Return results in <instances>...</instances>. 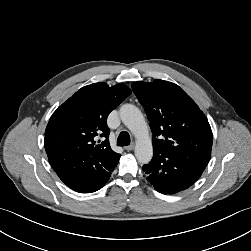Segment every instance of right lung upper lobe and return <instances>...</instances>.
Masks as SVG:
<instances>
[{
    "label": "right lung upper lobe",
    "instance_id": "1",
    "mask_svg": "<svg viewBox=\"0 0 251 251\" xmlns=\"http://www.w3.org/2000/svg\"><path fill=\"white\" fill-rule=\"evenodd\" d=\"M130 94L129 87L122 83L109 87L98 82L79 89L48 122L44 138L47 155L70 149L81 156L97 157L106 169L114 168L121 155L110 147L106 120ZM96 137L104 141L97 144Z\"/></svg>",
    "mask_w": 251,
    "mask_h": 251
}]
</instances>
